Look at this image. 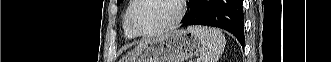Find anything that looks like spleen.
<instances>
[{
	"mask_svg": "<svg viewBox=\"0 0 331 62\" xmlns=\"http://www.w3.org/2000/svg\"><path fill=\"white\" fill-rule=\"evenodd\" d=\"M187 30L201 42V62H217L226 44L225 36L222 32L215 28L203 26H190Z\"/></svg>",
	"mask_w": 331,
	"mask_h": 62,
	"instance_id": "obj_1",
	"label": "spleen"
}]
</instances>
